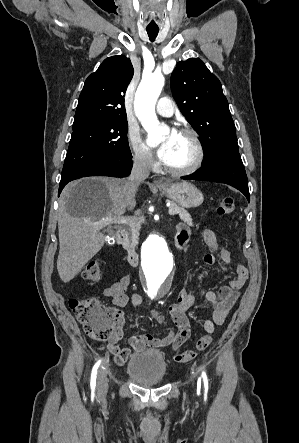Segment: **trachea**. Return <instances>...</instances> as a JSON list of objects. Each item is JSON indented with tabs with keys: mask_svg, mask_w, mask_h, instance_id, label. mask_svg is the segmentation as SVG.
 Listing matches in <instances>:
<instances>
[{
	"mask_svg": "<svg viewBox=\"0 0 299 443\" xmlns=\"http://www.w3.org/2000/svg\"><path fill=\"white\" fill-rule=\"evenodd\" d=\"M159 30H147L148 36L151 41H154L158 35Z\"/></svg>",
	"mask_w": 299,
	"mask_h": 443,
	"instance_id": "obj_1",
	"label": "trachea"
}]
</instances>
